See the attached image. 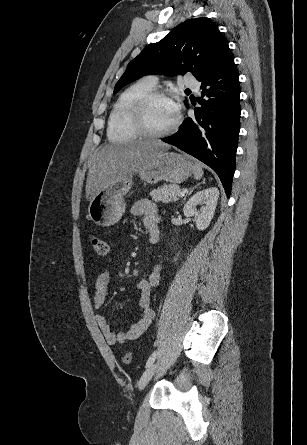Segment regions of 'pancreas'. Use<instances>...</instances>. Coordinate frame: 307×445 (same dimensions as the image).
<instances>
[{"instance_id": "pancreas-1", "label": "pancreas", "mask_w": 307, "mask_h": 445, "mask_svg": "<svg viewBox=\"0 0 307 445\" xmlns=\"http://www.w3.org/2000/svg\"><path fill=\"white\" fill-rule=\"evenodd\" d=\"M181 192L179 184H163V186H158L149 192L152 196V200L155 202H172V200H177V194Z\"/></svg>"}]
</instances>
